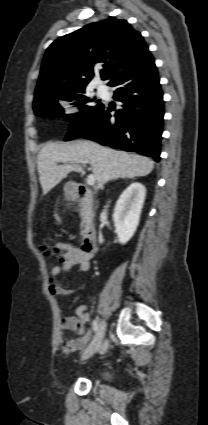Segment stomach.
<instances>
[{
  "mask_svg": "<svg viewBox=\"0 0 208 425\" xmlns=\"http://www.w3.org/2000/svg\"><path fill=\"white\" fill-rule=\"evenodd\" d=\"M65 192H66V195L67 196H69V197H72V196H74V184L73 183H67L66 185H65Z\"/></svg>",
  "mask_w": 208,
  "mask_h": 425,
  "instance_id": "obj_1",
  "label": "stomach"
}]
</instances>
